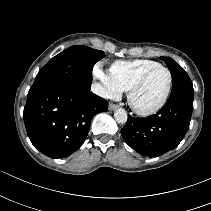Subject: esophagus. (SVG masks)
<instances>
[{
	"label": "esophagus",
	"mask_w": 211,
	"mask_h": 211,
	"mask_svg": "<svg viewBox=\"0 0 211 211\" xmlns=\"http://www.w3.org/2000/svg\"><path fill=\"white\" fill-rule=\"evenodd\" d=\"M117 108H118V105L113 104V103H110V104H109V110H110V111H113V110H115V109H117Z\"/></svg>",
	"instance_id": "esophagus-1"
}]
</instances>
